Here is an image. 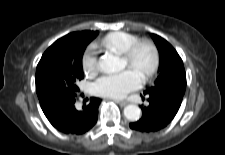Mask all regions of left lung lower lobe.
<instances>
[{
	"mask_svg": "<svg viewBox=\"0 0 225 155\" xmlns=\"http://www.w3.org/2000/svg\"><path fill=\"white\" fill-rule=\"evenodd\" d=\"M183 96L180 94L149 96V106L142 108V118L130 123L133 130L155 132L165 128L177 114Z\"/></svg>",
	"mask_w": 225,
	"mask_h": 155,
	"instance_id": "left-lung-lower-lobe-1",
	"label": "left lung lower lobe"
}]
</instances>
